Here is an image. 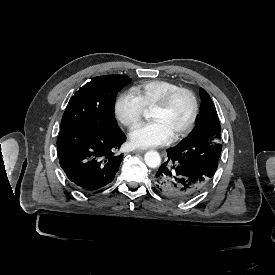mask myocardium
Wrapping results in <instances>:
<instances>
[{
	"label": "myocardium",
	"mask_w": 275,
	"mask_h": 275,
	"mask_svg": "<svg viewBox=\"0 0 275 275\" xmlns=\"http://www.w3.org/2000/svg\"><path fill=\"white\" fill-rule=\"evenodd\" d=\"M179 93H184L189 97V99L191 101V105H192V112H191V116H190V119L187 122V124L180 131H178L176 134H174L171 137V139H170L171 141H176V140L183 138L193 129V127L197 121L198 114H199V104H198L197 97L188 88L176 87V88L170 90L161 100H159L157 103H155L151 107V109H159V110L165 109L171 104L173 99Z\"/></svg>",
	"instance_id": "myocardium-1"
}]
</instances>
